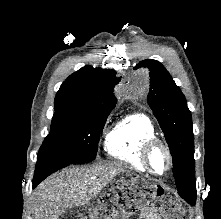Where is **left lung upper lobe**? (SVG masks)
<instances>
[{"mask_svg": "<svg viewBox=\"0 0 221 219\" xmlns=\"http://www.w3.org/2000/svg\"><path fill=\"white\" fill-rule=\"evenodd\" d=\"M150 70L148 104L159 121L173 158V175L180 196L189 204L196 201L194 135L191 112L184 95L163 65L144 60Z\"/></svg>", "mask_w": 221, "mask_h": 219, "instance_id": "obj_1", "label": "left lung upper lobe"}]
</instances>
